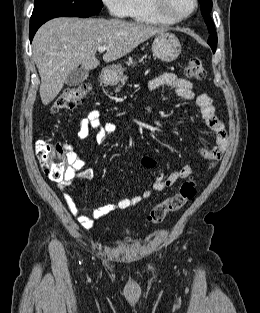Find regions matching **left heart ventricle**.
I'll use <instances>...</instances> for the list:
<instances>
[{
  "mask_svg": "<svg viewBox=\"0 0 260 313\" xmlns=\"http://www.w3.org/2000/svg\"><path fill=\"white\" fill-rule=\"evenodd\" d=\"M193 0H164L166 12L174 17L180 16L192 9Z\"/></svg>",
  "mask_w": 260,
  "mask_h": 313,
  "instance_id": "1",
  "label": "left heart ventricle"
}]
</instances>
